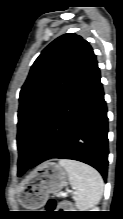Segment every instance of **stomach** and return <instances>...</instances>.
<instances>
[{
    "instance_id": "obj_1",
    "label": "stomach",
    "mask_w": 123,
    "mask_h": 219,
    "mask_svg": "<svg viewBox=\"0 0 123 219\" xmlns=\"http://www.w3.org/2000/svg\"><path fill=\"white\" fill-rule=\"evenodd\" d=\"M67 171L55 162H45L38 166L20 190L19 201L28 209L43 206L49 194L60 191L67 182Z\"/></svg>"
}]
</instances>
